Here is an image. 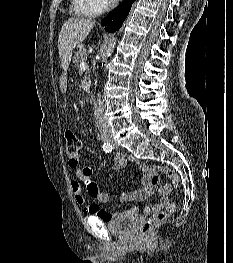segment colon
Listing matches in <instances>:
<instances>
[{"mask_svg": "<svg viewBox=\"0 0 233 263\" xmlns=\"http://www.w3.org/2000/svg\"><path fill=\"white\" fill-rule=\"evenodd\" d=\"M65 138H66L65 151L69 158V164L71 167L76 168L79 163L81 142L71 130H68L66 132ZM158 170L167 174L173 180L175 186L178 185L179 182L178 177L172 170L163 166H155L151 171V175H152L151 181L155 188L159 187V178L156 174ZM174 209H175V204L169 202L163 209L159 210L153 216L148 218L142 226L141 235L143 237H147L157 225L161 224L166 220L168 215L172 213Z\"/></svg>", "mask_w": 233, "mask_h": 263, "instance_id": "obj_1", "label": "colon"}]
</instances>
